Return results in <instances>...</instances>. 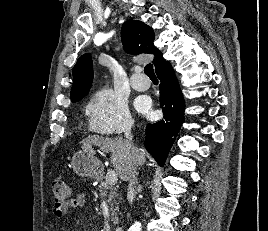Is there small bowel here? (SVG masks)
<instances>
[{
  "label": "small bowel",
  "mask_w": 268,
  "mask_h": 231,
  "mask_svg": "<svg viewBox=\"0 0 268 231\" xmlns=\"http://www.w3.org/2000/svg\"><path fill=\"white\" fill-rule=\"evenodd\" d=\"M86 202V195L82 192L77 193L69 202L68 209L74 210L79 209L84 206ZM66 211L61 210L60 208H54V215L55 216H62L65 214Z\"/></svg>",
  "instance_id": "c3829d8e"
}]
</instances>
